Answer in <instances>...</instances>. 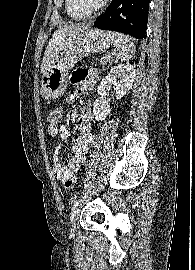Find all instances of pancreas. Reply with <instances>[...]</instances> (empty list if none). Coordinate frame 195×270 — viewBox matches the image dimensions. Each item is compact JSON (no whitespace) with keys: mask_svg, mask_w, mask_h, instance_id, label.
<instances>
[{"mask_svg":"<svg viewBox=\"0 0 195 270\" xmlns=\"http://www.w3.org/2000/svg\"><path fill=\"white\" fill-rule=\"evenodd\" d=\"M100 63L102 65L104 64H107V63H110L112 60H111V57L109 58L107 55H103L100 59H99Z\"/></svg>","mask_w":195,"mask_h":270,"instance_id":"pancreas-1","label":"pancreas"}]
</instances>
